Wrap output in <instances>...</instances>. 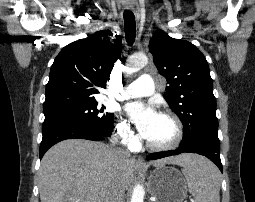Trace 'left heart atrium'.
Returning a JSON list of instances; mask_svg holds the SVG:
<instances>
[{
    "label": "left heart atrium",
    "mask_w": 255,
    "mask_h": 202,
    "mask_svg": "<svg viewBox=\"0 0 255 202\" xmlns=\"http://www.w3.org/2000/svg\"><path fill=\"white\" fill-rule=\"evenodd\" d=\"M124 111L143 137L147 135L159 115L152 106L145 105L141 102L128 103L124 107Z\"/></svg>",
    "instance_id": "left-heart-atrium-1"
}]
</instances>
